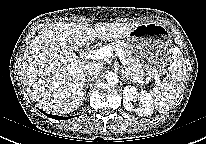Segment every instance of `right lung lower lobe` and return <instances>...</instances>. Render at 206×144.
I'll use <instances>...</instances> for the list:
<instances>
[{
	"instance_id": "obj_1",
	"label": "right lung lower lobe",
	"mask_w": 206,
	"mask_h": 144,
	"mask_svg": "<svg viewBox=\"0 0 206 144\" xmlns=\"http://www.w3.org/2000/svg\"><path fill=\"white\" fill-rule=\"evenodd\" d=\"M42 113H44L46 116H48L52 119H56V120H66V119L71 118V117H61V116H57V115L46 114L45 112H42Z\"/></svg>"
}]
</instances>
